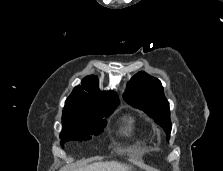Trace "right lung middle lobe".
Segmentation results:
<instances>
[{"label": "right lung middle lobe", "mask_w": 223, "mask_h": 171, "mask_svg": "<svg viewBox=\"0 0 223 171\" xmlns=\"http://www.w3.org/2000/svg\"><path fill=\"white\" fill-rule=\"evenodd\" d=\"M116 108H84V107H64L62 114V132L60 134L61 145L67 141H87L92 135H98L106 126L107 121L103 117H108Z\"/></svg>", "instance_id": "obj_1"}]
</instances>
